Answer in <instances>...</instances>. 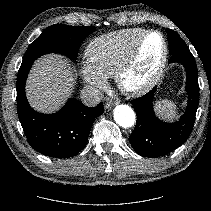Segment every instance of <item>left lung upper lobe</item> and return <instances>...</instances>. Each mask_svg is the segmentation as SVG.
I'll return each mask as SVG.
<instances>
[{
	"label": "left lung upper lobe",
	"instance_id": "obj_1",
	"mask_svg": "<svg viewBox=\"0 0 211 211\" xmlns=\"http://www.w3.org/2000/svg\"><path fill=\"white\" fill-rule=\"evenodd\" d=\"M166 32H167V35H168L169 33H173L175 31H173L171 29H167ZM179 50H189V48L187 47V45L185 44V42L183 40L181 42V46H180Z\"/></svg>",
	"mask_w": 211,
	"mask_h": 211
}]
</instances>
